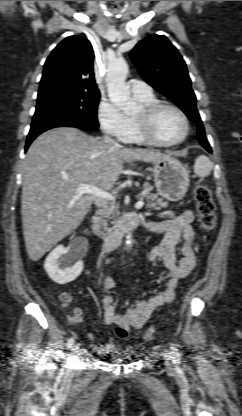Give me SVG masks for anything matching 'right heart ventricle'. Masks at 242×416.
<instances>
[{"label":"right heart ventricle","mask_w":242,"mask_h":416,"mask_svg":"<svg viewBox=\"0 0 242 416\" xmlns=\"http://www.w3.org/2000/svg\"><path fill=\"white\" fill-rule=\"evenodd\" d=\"M138 101L143 104H150L157 101L153 94L144 97H136ZM130 133L125 141L135 144H145L146 142L141 138L135 120L130 118Z\"/></svg>","instance_id":"1"}]
</instances>
